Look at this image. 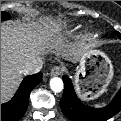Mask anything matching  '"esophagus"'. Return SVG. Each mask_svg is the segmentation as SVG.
<instances>
[{
	"instance_id": "34e87169",
	"label": "esophagus",
	"mask_w": 121,
	"mask_h": 121,
	"mask_svg": "<svg viewBox=\"0 0 121 121\" xmlns=\"http://www.w3.org/2000/svg\"><path fill=\"white\" fill-rule=\"evenodd\" d=\"M64 71V68L62 66H54L50 71L51 77L59 76Z\"/></svg>"
}]
</instances>
